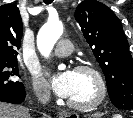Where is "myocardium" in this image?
<instances>
[{
  "mask_svg": "<svg viewBox=\"0 0 133 118\" xmlns=\"http://www.w3.org/2000/svg\"><path fill=\"white\" fill-rule=\"evenodd\" d=\"M75 71L76 72H87L90 75H92V77L94 78L96 82L97 93L94 99L88 103L82 104V103H76L71 100H68L67 105L75 111H79V112L91 111L97 108L100 104H102L106 98L107 86H106L105 79L102 73L95 66H92V65H88V64L78 65L75 68Z\"/></svg>",
  "mask_w": 133,
  "mask_h": 118,
  "instance_id": "obj_1",
  "label": "myocardium"
}]
</instances>
